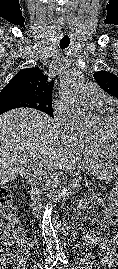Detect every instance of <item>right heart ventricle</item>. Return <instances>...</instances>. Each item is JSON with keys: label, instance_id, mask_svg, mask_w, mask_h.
<instances>
[{"label": "right heart ventricle", "instance_id": "1", "mask_svg": "<svg viewBox=\"0 0 118 269\" xmlns=\"http://www.w3.org/2000/svg\"><path fill=\"white\" fill-rule=\"evenodd\" d=\"M79 150L88 154L117 155V153L108 144H106L104 141L99 139L97 136H92L91 141Z\"/></svg>", "mask_w": 118, "mask_h": 269}]
</instances>
